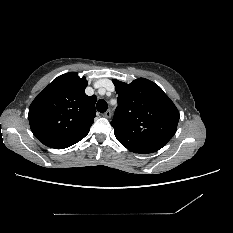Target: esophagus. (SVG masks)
Returning a JSON list of instances; mask_svg holds the SVG:
<instances>
[{
	"label": "esophagus",
	"instance_id": "34e87169",
	"mask_svg": "<svg viewBox=\"0 0 233 233\" xmlns=\"http://www.w3.org/2000/svg\"><path fill=\"white\" fill-rule=\"evenodd\" d=\"M111 115H112V112H111L110 110H107V111L103 114V116L106 117V118H110Z\"/></svg>",
	"mask_w": 233,
	"mask_h": 233
}]
</instances>
